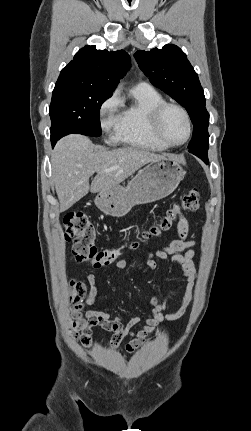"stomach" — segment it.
Here are the masks:
<instances>
[{
    "mask_svg": "<svg viewBox=\"0 0 251 431\" xmlns=\"http://www.w3.org/2000/svg\"><path fill=\"white\" fill-rule=\"evenodd\" d=\"M184 175L185 171L175 158L164 157L147 164L126 187L117 185L99 192L95 204L106 215L123 217L134 205L155 202L170 195Z\"/></svg>",
    "mask_w": 251,
    "mask_h": 431,
    "instance_id": "0dacf381",
    "label": "stomach"
}]
</instances>
